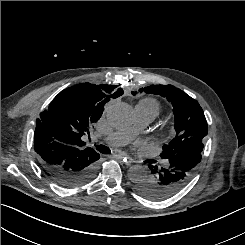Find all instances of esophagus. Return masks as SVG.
Instances as JSON below:
<instances>
[{"label": "esophagus", "mask_w": 245, "mask_h": 245, "mask_svg": "<svg viewBox=\"0 0 245 245\" xmlns=\"http://www.w3.org/2000/svg\"><path fill=\"white\" fill-rule=\"evenodd\" d=\"M114 157L123 160V162L127 165L133 162V159L126 154H115Z\"/></svg>", "instance_id": "esophagus-1"}]
</instances>
